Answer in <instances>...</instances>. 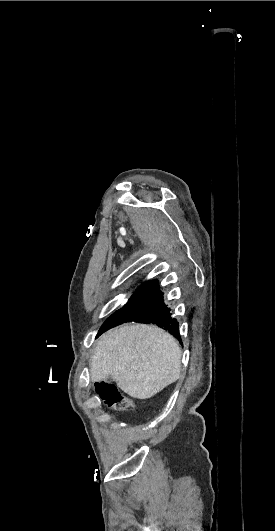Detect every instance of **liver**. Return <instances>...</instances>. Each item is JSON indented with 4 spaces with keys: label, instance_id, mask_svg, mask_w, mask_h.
Masks as SVG:
<instances>
[{
    "label": "liver",
    "instance_id": "1",
    "mask_svg": "<svg viewBox=\"0 0 275 531\" xmlns=\"http://www.w3.org/2000/svg\"><path fill=\"white\" fill-rule=\"evenodd\" d=\"M181 351L172 335L155 325H122L100 337L91 357V381L115 379L134 397L150 399L180 377Z\"/></svg>",
    "mask_w": 275,
    "mask_h": 531
}]
</instances>
